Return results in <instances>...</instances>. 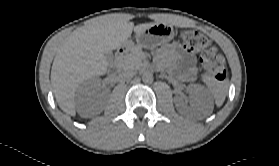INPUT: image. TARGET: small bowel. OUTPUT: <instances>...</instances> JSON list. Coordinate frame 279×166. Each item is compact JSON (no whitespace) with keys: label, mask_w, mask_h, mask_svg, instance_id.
Segmentation results:
<instances>
[{"label":"small bowel","mask_w":279,"mask_h":166,"mask_svg":"<svg viewBox=\"0 0 279 166\" xmlns=\"http://www.w3.org/2000/svg\"><path fill=\"white\" fill-rule=\"evenodd\" d=\"M158 58L160 60L159 65L165 62L169 67H172L173 60H179L182 62L183 70L188 75H193L195 72V58L192 54L188 53L183 47L177 43H171L164 46L158 51Z\"/></svg>","instance_id":"1"}]
</instances>
